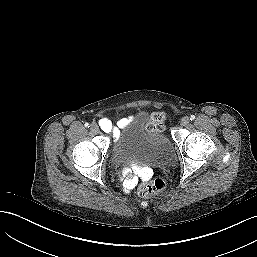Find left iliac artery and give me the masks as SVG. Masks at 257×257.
I'll return each instance as SVG.
<instances>
[{"label":"left iliac artery","instance_id":"left-iliac-artery-1","mask_svg":"<svg viewBox=\"0 0 257 257\" xmlns=\"http://www.w3.org/2000/svg\"><path fill=\"white\" fill-rule=\"evenodd\" d=\"M195 119V116L194 115H191L190 116V120H194Z\"/></svg>","mask_w":257,"mask_h":257}]
</instances>
